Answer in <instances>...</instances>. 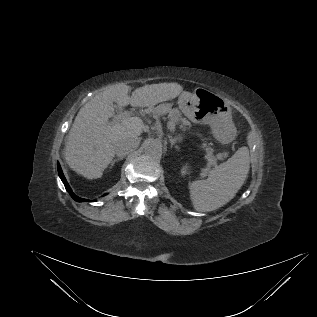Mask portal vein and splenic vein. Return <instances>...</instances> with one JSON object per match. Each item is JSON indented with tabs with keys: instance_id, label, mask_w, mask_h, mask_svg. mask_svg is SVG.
I'll return each instance as SVG.
<instances>
[{
	"instance_id": "1",
	"label": "portal vein and splenic vein",
	"mask_w": 317,
	"mask_h": 317,
	"mask_svg": "<svg viewBox=\"0 0 317 317\" xmlns=\"http://www.w3.org/2000/svg\"><path fill=\"white\" fill-rule=\"evenodd\" d=\"M130 116H131V112H129V111L120 112L114 116V122L129 118ZM135 118L137 119L138 117H135ZM169 128L174 131L175 124L173 121L169 122Z\"/></svg>"
}]
</instances>
